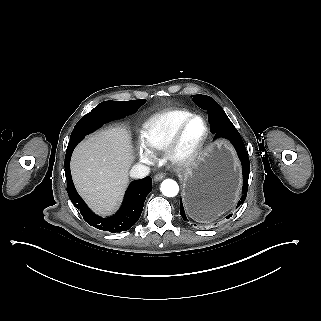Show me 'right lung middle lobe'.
I'll return each instance as SVG.
<instances>
[{"label": "right lung middle lobe", "mask_w": 321, "mask_h": 321, "mask_svg": "<svg viewBox=\"0 0 321 321\" xmlns=\"http://www.w3.org/2000/svg\"><path fill=\"white\" fill-rule=\"evenodd\" d=\"M113 101H105L100 103L97 107H95L90 113L86 114L82 119L79 120V122L76 124V126L73 129V132L71 134V137H74L76 135L81 134L82 132L88 131V133H91L102 126V123H100V119L98 118V115L95 114L96 109L101 107L102 105L112 103ZM122 102V101H120ZM146 102L145 99L140 100H132V101H126V103L133 104L140 108L144 103Z\"/></svg>", "instance_id": "1"}]
</instances>
